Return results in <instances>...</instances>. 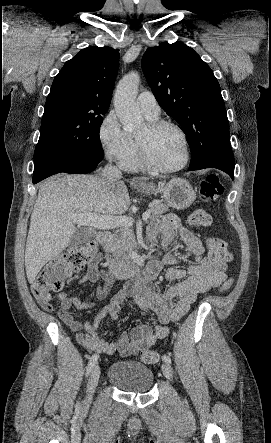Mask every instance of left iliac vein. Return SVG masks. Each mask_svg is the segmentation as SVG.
Masks as SVG:
<instances>
[{
	"instance_id": "4c4485c4",
	"label": "left iliac vein",
	"mask_w": 271,
	"mask_h": 443,
	"mask_svg": "<svg viewBox=\"0 0 271 443\" xmlns=\"http://www.w3.org/2000/svg\"><path fill=\"white\" fill-rule=\"evenodd\" d=\"M161 370H162L163 375L168 380H172V370H171V366L169 365V363H163L161 366Z\"/></svg>"
}]
</instances>
